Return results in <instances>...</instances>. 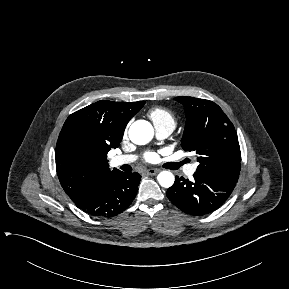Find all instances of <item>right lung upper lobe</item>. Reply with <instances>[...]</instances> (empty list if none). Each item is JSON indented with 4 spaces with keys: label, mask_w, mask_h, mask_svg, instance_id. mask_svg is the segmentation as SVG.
I'll return each instance as SVG.
<instances>
[{
    "label": "right lung upper lobe",
    "mask_w": 289,
    "mask_h": 289,
    "mask_svg": "<svg viewBox=\"0 0 289 289\" xmlns=\"http://www.w3.org/2000/svg\"><path fill=\"white\" fill-rule=\"evenodd\" d=\"M145 101H98L71 114L60 132L55 152L61 186L71 200L93 189L109 175L107 153L117 148L129 120Z\"/></svg>",
    "instance_id": "1"
}]
</instances>
